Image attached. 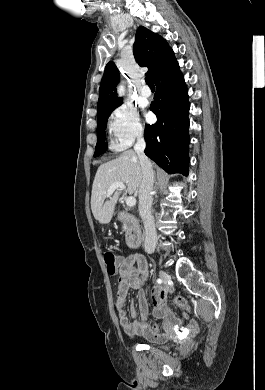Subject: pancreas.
I'll list each match as a JSON object with an SVG mask.
<instances>
[{
    "label": "pancreas",
    "instance_id": "pancreas-1",
    "mask_svg": "<svg viewBox=\"0 0 265 390\" xmlns=\"http://www.w3.org/2000/svg\"><path fill=\"white\" fill-rule=\"evenodd\" d=\"M123 229H124V231L127 230V224H124Z\"/></svg>",
    "mask_w": 265,
    "mask_h": 390
}]
</instances>
